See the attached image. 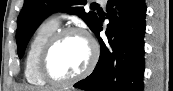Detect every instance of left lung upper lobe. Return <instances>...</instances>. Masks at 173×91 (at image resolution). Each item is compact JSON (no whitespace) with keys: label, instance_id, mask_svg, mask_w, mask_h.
<instances>
[{"label":"left lung upper lobe","instance_id":"5c2ea615","mask_svg":"<svg viewBox=\"0 0 173 91\" xmlns=\"http://www.w3.org/2000/svg\"><path fill=\"white\" fill-rule=\"evenodd\" d=\"M85 4V0H24V6L17 19L16 41L19 57H22L26 45L39 24L54 10L60 9L77 14L94 30L99 20L98 16L92 11L86 13L82 7Z\"/></svg>","mask_w":173,"mask_h":91}]
</instances>
